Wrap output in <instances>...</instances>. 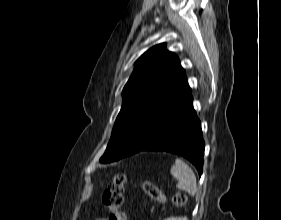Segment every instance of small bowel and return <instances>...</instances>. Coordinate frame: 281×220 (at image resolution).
<instances>
[{
  "mask_svg": "<svg viewBox=\"0 0 281 220\" xmlns=\"http://www.w3.org/2000/svg\"><path fill=\"white\" fill-rule=\"evenodd\" d=\"M96 220H108V219H106V218H99V219H96Z\"/></svg>",
  "mask_w": 281,
  "mask_h": 220,
  "instance_id": "small-bowel-1",
  "label": "small bowel"
}]
</instances>
